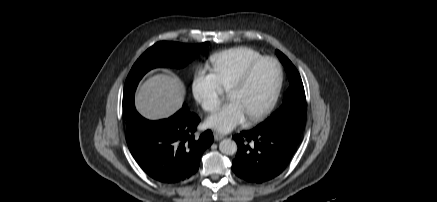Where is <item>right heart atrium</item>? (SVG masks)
<instances>
[{
  "label": "right heart atrium",
  "instance_id": "d8ad5b80",
  "mask_svg": "<svg viewBox=\"0 0 437 202\" xmlns=\"http://www.w3.org/2000/svg\"><path fill=\"white\" fill-rule=\"evenodd\" d=\"M191 92L204 111L213 112L221 104L224 89L212 71L198 66L192 78Z\"/></svg>",
  "mask_w": 437,
  "mask_h": 202
}]
</instances>
